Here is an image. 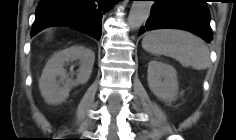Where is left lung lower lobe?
<instances>
[{
    "label": "left lung lower lobe",
    "instance_id": "left-lung-lower-lobe-1",
    "mask_svg": "<svg viewBox=\"0 0 236 140\" xmlns=\"http://www.w3.org/2000/svg\"><path fill=\"white\" fill-rule=\"evenodd\" d=\"M151 15L139 31L174 28L190 31L206 42H210V13L206 0H154Z\"/></svg>",
    "mask_w": 236,
    "mask_h": 140
}]
</instances>
